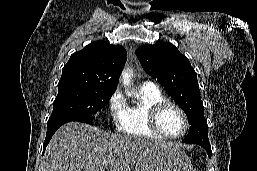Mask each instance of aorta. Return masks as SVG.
Listing matches in <instances>:
<instances>
[{
  "label": "aorta",
  "instance_id": "762f6f07",
  "mask_svg": "<svg viewBox=\"0 0 257 171\" xmlns=\"http://www.w3.org/2000/svg\"><path fill=\"white\" fill-rule=\"evenodd\" d=\"M130 77H131V74L128 70L124 71L122 73V78H123V84L126 86H128L130 84Z\"/></svg>",
  "mask_w": 257,
  "mask_h": 171
}]
</instances>
